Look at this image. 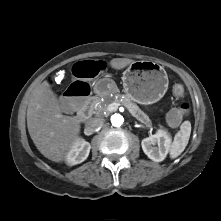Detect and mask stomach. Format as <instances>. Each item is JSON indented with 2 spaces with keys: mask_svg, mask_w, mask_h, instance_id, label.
I'll list each match as a JSON object with an SVG mask.
<instances>
[{
  "mask_svg": "<svg viewBox=\"0 0 221 221\" xmlns=\"http://www.w3.org/2000/svg\"><path fill=\"white\" fill-rule=\"evenodd\" d=\"M123 88L126 95L142 105L159 101L168 88V76L158 63L142 60L134 61L123 72Z\"/></svg>",
  "mask_w": 221,
  "mask_h": 221,
  "instance_id": "stomach-1",
  "label": "stomach"
}]
</instances>
